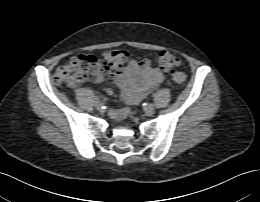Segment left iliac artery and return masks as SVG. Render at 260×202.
Segmentation results:
<instances>
[{
    "label": "left iliac artery",
    "mask_w": 260,
    "mask_h": 202,
    "mask_svg": "<svg viewBox=\"0 0 260 202\" xmlns=\"http://www.w3.org/2000/svg\"><path fill=\"white\" fill-rule=\"evenodd\" d=\"M144 105L147 106V105H153V104L149 103V102H146V103H144Z\"/></svg>",
    "instance_id": "left-iliac-artery-1"
}]
</instances>
